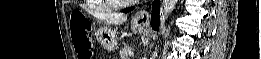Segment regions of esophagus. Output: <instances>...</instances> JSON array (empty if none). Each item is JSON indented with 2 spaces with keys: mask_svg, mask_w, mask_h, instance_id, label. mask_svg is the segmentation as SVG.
Segmentation results:
<instances>
[{
  "mask_svg": "<svg viewBox=\"0 0 261 59\" xmlns=\"http://www.w3.org/2000/svg\"><path fill=\"white\" fill-rule=\"evenodd\" d=\"M150 15L147 10L141 9L133 16V21L139 25L146 26L149 24Z\"/></svg>",
  "mask_w": 261,
  "mask_h": 59,
  "instance_id": "34e87169",
  "label": "esophagus"
}]
</instances>
